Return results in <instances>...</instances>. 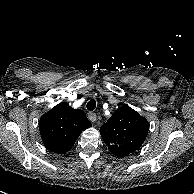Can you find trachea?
<instances>
[{
    "mask_svg": "<svg viewBox=\"0 0 194 194\" xmlns=\"http://www.w3.org/2000/svg\"><path fill=\"white\" fill-rule=\"evenodd\" d=\"M87 109L89 111H93L96 108V101L94 99H91L87 105H86Z\"/></svg>",
    "mask_w": 194,
    "mask_h": 194,
    "instance_id": "trachea-1",
    "label": "trachea"
}]
</instances>
